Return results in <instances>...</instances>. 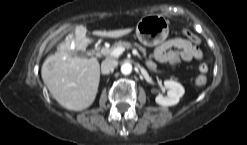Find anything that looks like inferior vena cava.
I'll list each match as a JSON object with an SVG mask.
<instances>
[{"label": "inferior vena cava", "mask_w": 247, "mask_h": 145, "mask_svg": "<svg viewBox=\"0 0 247 145\" xmlns=\"http://www.w3.org/2000/svg\"><path fill=\"white\" fill-rule=\"evenodd\" d=\"M118 65V62L114 59H106L101 64L102 74H109Z\"/></svg>", "instance_id": "inferior-vena-cava-1"}]
</instances>
